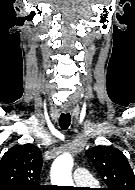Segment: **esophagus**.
I'll return each mask as SVG.
<instances>
[{"label": "esophagus", "instance_id": "obj_1", "mask_svg": "<svg viewBox=\"0 0 135 190\" xmlns=\"http://www.w3.org/2000/svg\"><path fill=\"white\" fill-rule=\"evenodd\" d=\"M70 110H71V107H70L69 105H64V106L62 107V111H63L64 113H68V112H70Z\"/></svg>", "mask_w": 135, "mask_h": 190}]
</instances>
